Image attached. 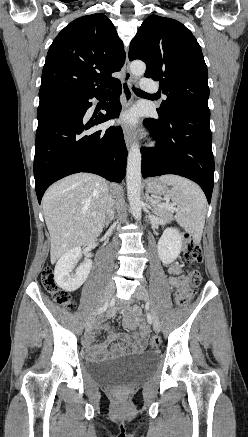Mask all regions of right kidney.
Here are the masks:
<instances>
[{
    "instance_id": "right-kidney-1",
    "label": "right kidney",
    "mask_w": 248,
    "mask_h": 437,
    "mask_svg": "<svg viewBox=\"0 0 248 437\" xmlns=\"http://www.w3.org/2000/svg\"><path fill=\"white\" fill-rule=\"evenodd\" d=\"M81 255L82 250L80 247H77L66 252L56 263L54 280L60 288L67 292H73L79 289L86 281L92 268V260L87 258L85 262L73 272L75 264ZM85 255L89 257L88 252H85Z\"/></svg>"
}]
</instances>
